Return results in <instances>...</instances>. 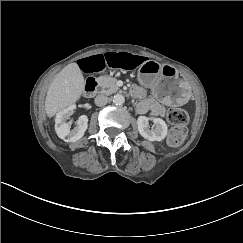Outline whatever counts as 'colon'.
Segmentation results:
<instances>
[{
  "mask_svg": "<svg viewBox=\"0 0 243 243\" xmlns=\"http://www.w3.org/2000/svg\"><path fill=\"white\" fill-rule=\"evenodd\" d=\"M169 122L173 125L167 141L171 146L180 145L187 135V123L189 120L188 114L183 109L172 108L167 112Z\"/></svg>",
  "mask_w": 243,
  "mask_h": 243,
  "instance_id": "1",
  "label": "colon"
}]
</instances>
